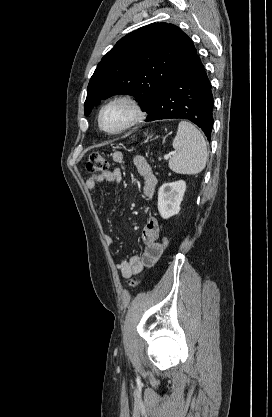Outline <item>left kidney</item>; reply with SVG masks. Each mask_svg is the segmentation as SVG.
Here are the masks:
<instances>
[{
  "mask_svg": "<svg viewBox=\"0 0 272 417\" xmlns=\"http://www.w3.org/2000/svg\"><path fill=\"white\" fill-rule=\"evenodd\" d=\"M186 190L183 180L163 184L158 191V211L163 219H168L180 211Z\"/></svg>",
  "mask_w": 272,
  "mask_h": 417,
  "instance_id": "1",
  "label": "left kidney"
}]
</instances>
